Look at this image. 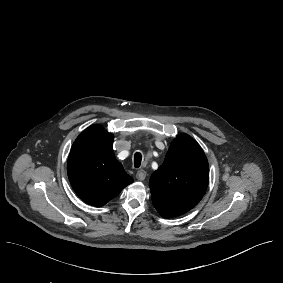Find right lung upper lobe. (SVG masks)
I'll list each match as a JSON object with an SVG mask.
<instances>
[{"label":"right lung upper lobe","instance_id":"cb5924a9","mask_svg":"<svg viewBox=\"0 0 283 283\" xmlns=\"http://www.w3.org/2000/svg\"><path fill=\"white\" fill-rule=\"evenodd\" d=\"M113 134L92 125L75 140L68 158V176L87 204L103 206L134 180L115 158Z\"/></svg>","mask_w":283,"mask_h":283}]
</instances>
